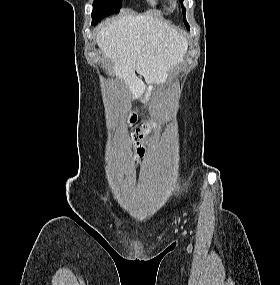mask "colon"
I'll return each mask as SVG.
<instances>
[{
    "instance_id": "5ec220e1",
    "label": "colon",
    "mask_w": 280,
    "mask_h": 285,
    "mask_svg": "<svg viewBox=\"0 0 280 285\" xmlns=\"http://www.w3.org/2000/svg\"><path fill=\"white\" fill-rule=\"evenodd\" d=\"M158 127L157 121H151L146 123L140 127H138L134 132V139L137 144L140 142L148 141L153 136V131ZM140 152H142V148H139Z\"/></svg>"
}]
</instances>
